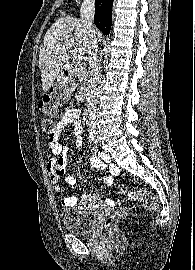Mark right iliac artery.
<instances>
[{"mask_svg":"<svg viewBox=\"0 0 195 270\" xmlns=\"http://www.w3.org/2000/svg\"><path fill=\"white\" fill-rule=\"evenodd\" d=\"M89 141L92 143L94 141V138L92 136V133H89Z\"/></svg>","mask_w":195,"mask_h":270,"instance_id":"1","label":"right iliac artery"}]
</instances>
